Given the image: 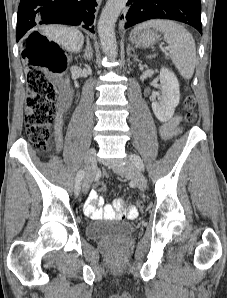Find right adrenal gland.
<instances>
[{
  "label": "right adrenal gland",
  "mask_w": 227,
  "mask_h": 298,
  "mask_svg": "<svg viewBox=\"0 0 227 298\" xmlns=\"http://www.w3.org/2000/svg\"><path fill=\"white\" fill-rule=\"evenodd\" d=\"M86 43H87V46H86V49L84 50L83 57L85 60L91 61L93 58V51L88 38L86 39Z\"/></svg>",
  "instance_id": "obj_1"
}]
</instances>
